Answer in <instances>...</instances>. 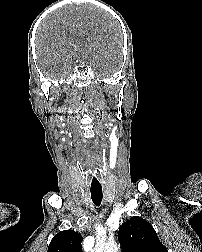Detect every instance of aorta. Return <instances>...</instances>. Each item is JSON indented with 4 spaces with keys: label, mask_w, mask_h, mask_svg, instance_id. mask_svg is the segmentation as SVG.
I'll list each match as a JSON object with an SVG mask.
<instances>
[{
    "label": "aorta",
    "mask_w": 202,
    "mask_h": 252,
    "mask_svg": "<svg viewBox=\"0 0 202 252\" xmlns=\"http://www.w3.org/2000/svg\"><path fill=\"white\" fill-rule=\"evenodd\" d=\"M92 252H119V247L116 244H97Z\"/></svg>",
    "instance_id": "aorta-1"
}]
</instances>
